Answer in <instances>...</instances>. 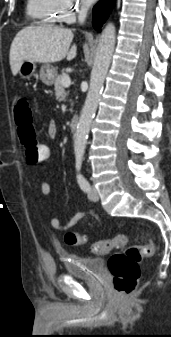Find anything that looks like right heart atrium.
Segmentation results:
<instances>
[{
    "instance_id": "right-heart-atrium-1",
    "label": "right heart atrium",
    "mask_w": 171,
    "mask_h": 337,
    "mask_svg": "<svg viewBox=\"0 0 171 337\" xmlns=\"http://www.w3.org/2000/svg\"><path fill=\"white\" fill-rule=\"evenodd\" d=\"M53 4L59 13V20L65 23L74 22L86 10L81 0H53Z\"/></svg>"
}]
</instances>
